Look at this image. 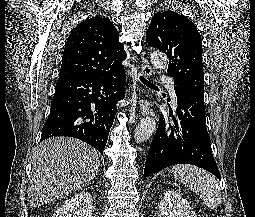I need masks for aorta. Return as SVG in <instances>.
I'll use <instances>...</instances> for the list:
<instances>
[{
  "label": "aorta",
  "instance_id": "762f6f07",
  "mask_svg": "<svg viewBox=\"0 0 255 217\" xmlns=\"http://www.w3.org/2000/svg\"><path fill=\"white\" fill-rule=\"evenodd\" d=\"M150 61L151 64L157 69H162L168 64L167 56L159 51H154L151 53ZM155 130V119L152 117H146L138 123V126L135 129L134 139L137 143H142L148 140Z\"/></svg>",
  "mask_w": 255,
  "mask_h": 217
}]
</instances>
